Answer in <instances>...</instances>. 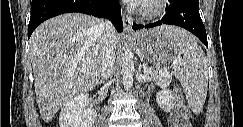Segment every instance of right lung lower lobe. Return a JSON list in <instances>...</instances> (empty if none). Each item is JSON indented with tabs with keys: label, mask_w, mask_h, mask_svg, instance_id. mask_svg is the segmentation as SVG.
Listing matches in <instances>:
<instances>
[{
	"label": "right lung lower lobe",
	"mask_w": 243,
	"mask_h": 127,
	"mask_svg": "<svg viewBox=\"0 0 243 127\" xmlns=\"http://www.w3.org/2000/svg\"><path fill=\"white\" fill-rule=\"evenodd\" d=\"M69 12L107 18L118 32L123 31L121 8L116 0H32L28 38L43 21Z\"/></svg>",
	"instance_id": "98d812e1"
}]
</instances>
